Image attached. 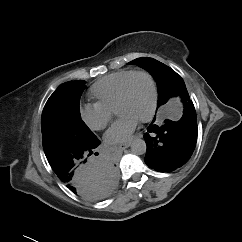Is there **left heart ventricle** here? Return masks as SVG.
Here are the masks:
<instances>
[{
  "instance_id": "left-heart-ventricle-1",
  "label": "left heart ventricle",
  "mask_w": 242,
  "mask_h": 242,
  "mask_svg": "<svg viewBox=\"0 0 242 242\" xmlns=\"http://www.w3.org/2000/svg\"><path fill=\"white\" fill-rule=\"evenodd\" d=\"M150 105V82L145 76L138 75L130 81L126 99L118 108L117 114L131 115L140 120L148 113Z\"/></svg>"
}]
</instances>
